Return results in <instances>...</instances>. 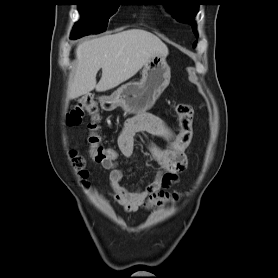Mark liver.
<instances>
[{
    "label": "liver",
    "mask_w": 278,
    "mask_h": 278,
    "mask_svg": "<svg viewBox=\"0 0 278 278\" xmlns=\"http://www.w3.org/2000/svg\"><path fill=\"white\" fill-rule=\"evenodd\" d=\"M76 70L67 97L75 99L96 89L107 91L133 77L151 57L167 55V46L154 34L130 29L80 43L75 51ZM102 69V77L96 75Z\"/></svg>",
    "instance_id": "obj_1"
}]
</instances>
